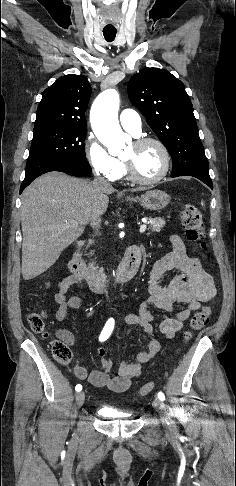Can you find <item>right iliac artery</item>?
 <instances>
[{
    "mask_svg": "<svg viewBox=\"0 0 236 486\" xmlns=\"http://www.w3.org/2000/svg\"><path fill=\"white\" fill-rule=\"evenodd\" d=\"M113 328H114V319L113 318H110L106 322V324H105V326H104V328H103V330H102V332L100 334L99 340L101 342L102 341H105L111 335V333L113 331ZM75 390L78 391V392L81 391L82 390V386L80 384L76 385Z\"/></svg>",
    "mask_w": 236,
    "mask_h": 486,
    "instance_id": "82829eb1",
    "label": "right iliac artery"
}]
</instances>
